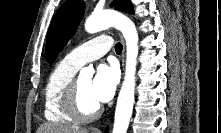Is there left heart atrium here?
I'll return each mask as SVG.
<instances>
[{
	"label": "left heart atrium",
	"instance_id": "39dd6f15",
	"mask_svg": "<svg viewBox=\"0 0 221 133\" xmlns=\"http://www.w3.org/2000/svg\"><path fill=\"white\" fill-rule=\"evenodd\" d=\"M118 80L119 74L115 66L100 64L91 85L94 100L98 104L108 102L114 96Z\"/></svg>",
	"mask_w": 221,
	"mask_h": 133
}]
</instances>
